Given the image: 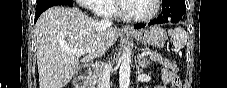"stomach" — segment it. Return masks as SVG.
<instances>
[{
    "label": "stomach",
    "mask_w": 227,
    "mask_h": 88,
    "mask_svg": "<svg viewBox=\"0 0 227 88\" xmlns=\"http://www.w3.org/2000/svg\"><path fill=\"white\" fill-rule=\"evenodd\" d=\"M130 35L141 43L158 48H162L167 40L165 30L159 26L141 29L130 33Z\"/></svg>",
    "instance_id": "1"
}]
</instances>
